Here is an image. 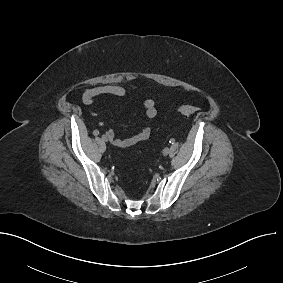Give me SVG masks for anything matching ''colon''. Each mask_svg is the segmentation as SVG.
I'll use <instances>...</instances> for the list:
<instances>
[{
    "label": "colon",
    "instance_id": "colon-1",
    "mask_svg": "<svg viewBox=\"0 0 283 283\" xmlns=\"http://www.w3.org/2000/svg\"><path fill=\"white\" fill-rule=\"evenodd\" d=\"M198 111V108L193 105L184 104L179 106L178 112L184 116H191Z\"/></svg>",
    "mask_w": 283,
    "mask_h": 283
}]
</instances>
